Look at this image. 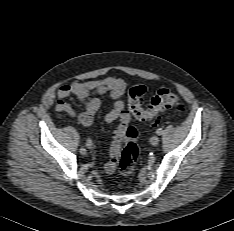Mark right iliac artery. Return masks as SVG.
<instances>
[{"mask_svg": "<svg viewBox=\"0 0 234 231\" xmlns=\"http://www.w3.org/2000/svg\"><path fill=\"white\" fill-rule=\"evenodd\" d=\"M86 146H87L88 148H92L93 143H92V141H91L90 139L87 140Z\"/></svg>", "mask_w": 234, "mask_h": 231, "instance_id": "obj_1", "label": "right iliac artery"}]
</instances>
